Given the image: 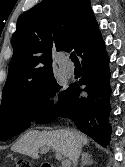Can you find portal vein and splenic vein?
Masks as SVG:
<instances>
[{
	"instance_id": "18ae733b",
	"label": "portal vein and splenic vein",
	"mask_w": 125,
	"mask_h": 167,
	"mask_svg": "<svg viewBox=\"0 0 125 167\" xmlns=\"http://www.w3.org/2000/svg\"><path fill=\"white\" fill-rule=\"evenodd\" d=\"M42 151L47 152V151H49V148L44 147V148H42ZM56 158L61 161L62 167H70L71 166L70 160L64 159L60 152L56 151Z\"/></svg>"
}]
</instances>
